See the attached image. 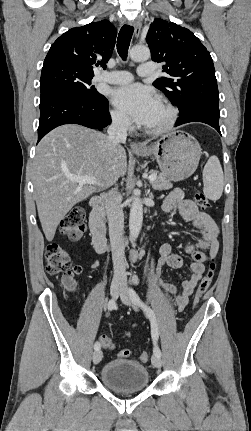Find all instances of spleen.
Segmentation results:
<instances>
[{
    "label": "spleen",
    "instance_id": "1",
    "mask_svg": "<svg viewBox=\"0 0 251 431\" xmlns=\"http://www.w3.org/2000/svg\"><path fill=\"white\" fill-rule=\"evenodd\" d=\"M203 192L210 200H218L223 192L224 176L218 157L211 156L203 169Z\"/></svg>",
    "mask_w": 251,
    "mask_h": 431
}]
</instances>
